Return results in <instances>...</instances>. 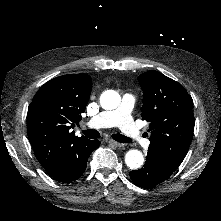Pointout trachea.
Returning <instances> with one entry per match:
<instances>
[{"label": "trachea", "instance_id": "obj_1", "mask_svg": "<svg viewBox=\"0 0 221 221\" xmlns=\"http://www.w3.org/2000/svg\"><path fill=\"white\" fill-rule=\"evenodd\" d=\"M82 134H84L85 137L90 138V139H98L100 137V133L97 130L91 129V130H82ZM112 139L115 141H118L120 143H129L131 140L130 138L120 134H112L111 135Z\"/></svg>", "mask_w": 221, "mask_h": 221}]
</instances>
